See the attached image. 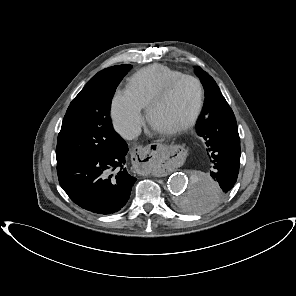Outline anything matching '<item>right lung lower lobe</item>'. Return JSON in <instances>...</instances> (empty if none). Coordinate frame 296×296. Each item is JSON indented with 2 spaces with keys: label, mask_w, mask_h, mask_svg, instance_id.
<instances>
[{
  "label": "right lung lower lobe",
  "mask_w": 296,
  "mask_h": 296,
  "mask_svg": "<svg viewBox=\"0 0 296 296\" xmlns=\"http://www.w3.org/2000/svg\"><path fill=\"white\" fill-rule=\"evenodd\" d=\"M128 145L57 166L60 186L78 206L96 214L108 215L127 203L137 180L125 167Z\"/></svg>",
  "instance_id": "obj_1"
}]
</instances>
